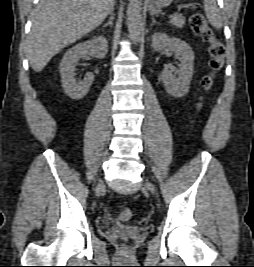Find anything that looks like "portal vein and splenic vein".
Returning <instances> with one entry per match:
<instances>
[{
    "mask_svg": "<svg viewBox=\"0 0 254 267\" xmlns=\"http://www.w3.org/2000/svg\"><path fill=\"white\" fill-rule=\"evenodd\" d=\"M176 15H177L176 13H174V14H170L169 17L172 19V18H174Z\"/></svg>",
    "mask_w": 254,
    "mask_h": 267,
    "instance_id": "18ae733b",
    "label": "portal vein and splenic vein"
}]
</instances>
